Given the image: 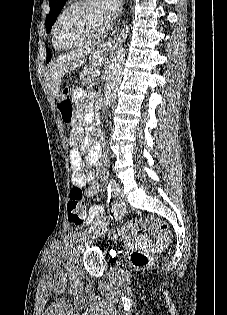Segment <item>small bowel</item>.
Masks as SVG:
<instances>
[{"instance_id":"small-bowel-1","label":"small bowel","mask_w":227,"mask_h":315,"mask_svg":"<svg viewBox=\"0 0 227 315\" xmlns=\"http://www.w3.org/2000/svg\"><path fill=\"white\" fill-rule=\"evenodd\" d=\"M73 95L77 101H82L87 94L82 89H76ZM68 144L71 148L69 159L72 169V184L74 186H85L87 183H93L95 179V173L92 169L84 170L78 146L81 145L82 149L87 151V164L89 166L96 165L99 158V149L97 146L93 145L91 139L83 136V128L78 124L73 126L70 132ZM97 192L98 186L96 185H91L85 189V195L87 197H92L96 195ZM103 210V206H91L89 209L90 219H87V224H93L95 221L97 222L96 219H91V216L96 217L98 214H102Z\"/></svg>"}]
</instances>
